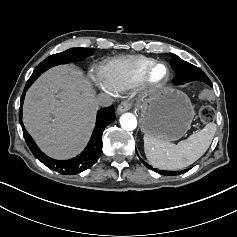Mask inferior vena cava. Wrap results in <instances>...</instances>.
Here are the masks:
<instances>
[{
	"mask_svg": "<svg viewBox=\"0 0 237 237\" xmlns=\"http://www.w3.org/2000/svg\"><path fill=\"white\" fill-rule=\"evenodd\" d=\"M95 101L100 107H108L112 105L114 99L110 94L101 93L95 98Z\"/></svg>",
	"mask_w": 237,
	"mask_h": 237,
	"instance_id": "obj_1",
	"label": "inferior vena cava"
}]
</instances>
